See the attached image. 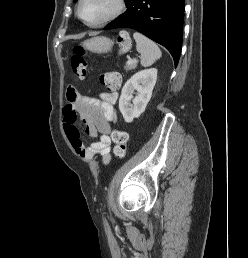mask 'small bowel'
<instances>
[{
  "mask_svg": "<svg viewBox=\"0 0 248 258\" xmlns=\"http://www.w3.org/2000/svg\"><path fill=\"white\" fill-rule=\"evenodd\" d=\"M117 98L115 91L103 92L98 98H94L82 96L74 88L68 89L64 106V131L74 152L83 160L100 155L104 163L109 162L110 124L116 119L114 105ZM77 118L85 125L86 134L94 140L89 145H85L81 138L76 126Z\"/></svg>",
  "mask_w": 248,
  "mask_h": 258,
  "instance_id": "obj_1",
  "label": "small bowel"
}]
</instances>
